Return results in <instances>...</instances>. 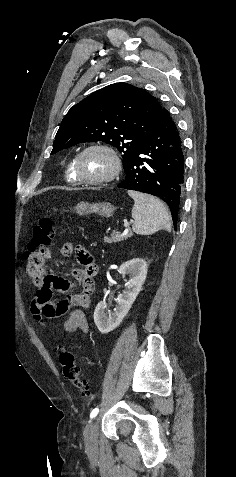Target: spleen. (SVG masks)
Instances as JSON below:
<instances>
[{"instance_id": "1", "label": "spleen", "mask_w": 236, "mask_h": 477, "mask_svg": "<svg viewBox=\"0 0 236 477\" xmlns=\"http://www.w3.org/2000/svg\"><path fill=\"white\" fill-rule=\"evenodd\" d=\"M133 198L132 229L139 235H150L161 229L171 231V220L165 206L159 199L140 192L128 190Z\"/></svg>"}]
</instances>
